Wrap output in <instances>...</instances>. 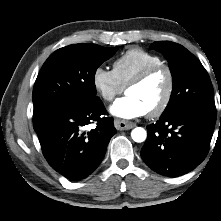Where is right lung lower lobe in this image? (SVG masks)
Listing matches in <instances>:
<instances>
[{
	"mask_svg": "<svg viewBox=\"0 0 221 221\" xmlns=\"http://www.w3.org/2000/svg\"><path fill=\"white\" fill-rule=\"evenodd\" d=\"M99 99L85 107H67L51 114L35 131L49 165L70 181H79L100 165L116 129L113 119L104 117ZM97 121V127L84 132L83 126Z\"/></svg>",
	"mask_w": 221,
	"mask_h": 221,
	"instance_id": "obj_1",
	"label": "right lung lower lobe"
}]
</instances>
